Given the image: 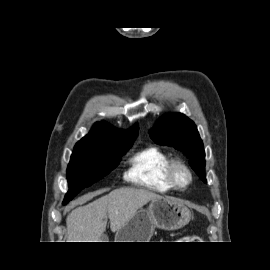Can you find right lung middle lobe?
Listing matches in <instances>:
<instances>
[{
	"mask_svg": "<svg viewBox=\"0 0 270 270\" xmlns=\"http://www.w3.org/2000/svg\"><path fill=\"white\" fill-rule=\"evenodd\" d=\"M133 142L99 147H75L67 168L69 191L63 204L116 168L119 159L131 148Z\"/></svg>",
	"mask_w": 270,
	"mask_h": 270,
	"instance_id": "right-lung-middle-lobe-1",
	"label": "right lung middle lobe"
}]
</instances>
